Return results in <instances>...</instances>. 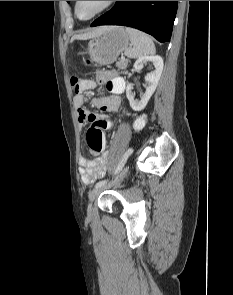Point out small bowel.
<instances>
[{
  "label": "small bowel",
  "mask_w": 233,
  "mask_h": 295,
  "mask_svg": "<svg viewBox=\"0 0 233 295\" xmlns=\"http://www.w3.org/2000/svg\"><path fill=\"white\" fill-rule=\"evenodd\" d=\"M97 81L106 86L109 96H100L93 98L91 102L102 112H116L121 107L120 94L125 91L126 83L122 77L116 75L115 72H99ZM74 104L77 107V118L79 123L84 124L90 122L93 127H99L102 130L112 128L113 122L105 115L90 112L84 107L85 96L76 94L74 96ZM106 155L87 159L84 156L79 158V174L83 184L89 185L105 174Z\"/></svg>",
  "instance_id": "obj_1"
}]
</instances>
